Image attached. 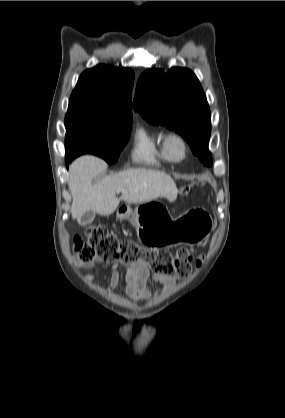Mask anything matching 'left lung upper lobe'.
<instances>
[{
  "label": "left lung upper lobe",
  "mask_w": 285,
  "mask_h": 418,
  "mask_svg": "<svg viewBox=\"0 0 285 418\" xmlns=\"http://www.w3.org/2000/svg\"><path fill=\"white\" fill-rule=\"evenodd\" d=\"M133 106L149 123L181 134L203 164L212 166L208 150L210 109L192 71L173 67L167 73L161 69L144 72L137 83Z\"/></svg>",
  "instance_id": "5c2ea615"
}]
</instances>
